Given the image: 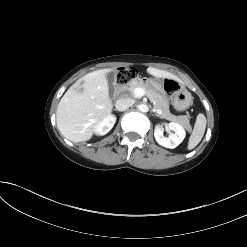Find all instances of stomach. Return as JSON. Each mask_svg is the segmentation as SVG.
Segmentation results:
<instances>
[{"label":"stomach","mask_w":247,"mask_h":247,"mask_svg":"<svg viewBox=\"0 0 247 247\" xmlns=\"http://www.w3.org/2000/svg\"><path fill=\"white\" fill-rule=\"evenodd\" d=\"M165 97H168L174 108L183 111L192 104L191 93L178 81L164 78L159 84L155 83Z\"/></svg>","instance_id":"obj_1"}]
</instances>
